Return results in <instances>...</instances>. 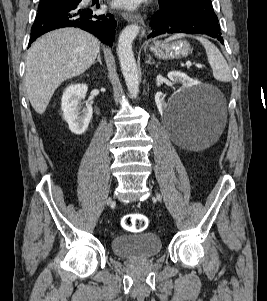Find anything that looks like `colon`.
<instances>
[{"mask_svg":"<svg viewBox=\"0 0 267 301\" xmlns=\"http://www.w3.org/2000/svg\"><path fill=\"white\" fill-rule=\"evenodd\" d=\"M121 225L127 231L134 233L142 232L148 226V218L141 213L126 214L122 218Z\"/></svg>","mask_w":267,"mask_h":301,"instance_id":"colon-1","label":"colon"}]
</instances>
